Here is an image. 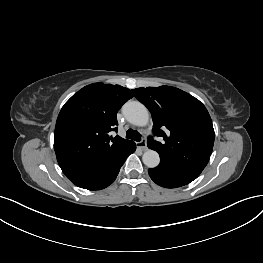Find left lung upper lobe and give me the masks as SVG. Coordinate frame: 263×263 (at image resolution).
Returning a JSON list of instances; mask_svg holds the SVG:
<instances>
[{
  "label": "left lung upper lobe",
  "instance_id": "1",
  "mask_svg": "<svg viewBox=\"0 0 263 263\" xmlns=\"http://www.w3.org/2000/svg\"><path fill=\"white\" fill-rule=\"evenodd\" d=\"M132 91L150 110L154 135L163 138L158 142L148 137V148L157 151L163 163L201 173L211 156L215 137L205 106L171 86Z\"/></svg>",
  "mask_w": 263,
  "mask_h": 263
}]
</instances>
